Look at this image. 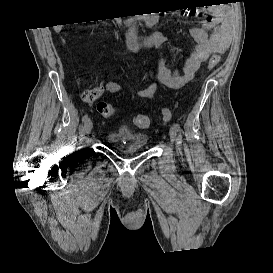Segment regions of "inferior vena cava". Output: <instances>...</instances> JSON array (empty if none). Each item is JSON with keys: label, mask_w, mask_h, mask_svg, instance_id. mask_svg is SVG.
<instances>
[{"label": "inferior vena cava", "mask_w": 273, "mask_h": 273, "mask_svg": "<svg viewBox=\"0 0 273 273\" xmlns=\"http://www.w3.org/2000/svg\"><path fill=\"white\" fill-rule=\"evenodd\" d=\"M116 21H117V23L120 25L121 24V17H119V18H116Z\"/></svg>", "instance_id": "inferior-vena-cava-1"}]
</instances>
